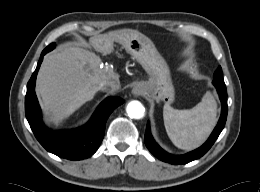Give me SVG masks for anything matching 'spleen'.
Wrapping results in <instances>:
<instances>
[{
	"label": "spleen",
	"mask_w": 260,
	"mask_h": 192,
	"mask_svg": "<svg viewBox=\"0 0 260 192\" xmlns=\"http://www.w3.org/2000/svg\"><path fill=\"white\" fill-rule=\"evenodd\" d=\"M216 115L217 103L210 92L192 109H174L169 103L163 108L166 132L173 144L184 150L197 148L208 138L216 125Z\"/></svg>",
	"instance_id": "3e777b00"
}]
</instances>
